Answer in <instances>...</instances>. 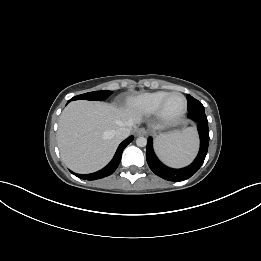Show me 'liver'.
<instances>
[{
    "instance_id": "obj_1",
    "label": "liver",
    "mask_w": 261,
    "mask_h": 261,
    "mask_svg": "<svg viewBox=\"0 0 261 261\" xmlns=\"http://www.w3.org/2000/svg\"><path fill=\"white\" fill-rule=\"evenodd\" d=\"M141 122L129 108L93 101L71 102L59 119L57 143L62 161L74 172L92 173L103 168L122 141L115 132Z\"/></svg>"
}]
</instances>
